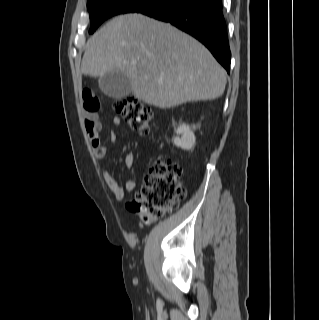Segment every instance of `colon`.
Masks as SVG:
<instances>
[{
    "label": "colon",
    "instance_id": "1",
    "mask_svg": "<svg viewBox=\"0 0 319 320\" xmlns=\"http://www.w3.org/2000/svg\"><path fill=\"white\" fill-rule=\"evenodd\" d=\"M116 111L130 128L142 135L148 134L153 120L149 106L139 99L128 96L115 102ZM183 169L172 160H155L148 168L144 185L128 204L142 222L150 224L160 216L174 210L186 197Z\"/></svg>",
    "mask_w": 319,
    "mask_h": 320
}]
</instances>
